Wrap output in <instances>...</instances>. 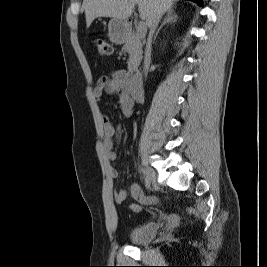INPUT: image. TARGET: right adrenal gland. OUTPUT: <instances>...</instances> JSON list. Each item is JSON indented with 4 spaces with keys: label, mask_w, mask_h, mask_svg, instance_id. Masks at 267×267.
<instances>
[{
    "label": "right adrenal gland",
    "mask_w": 267,
    "mask_h": 267,
    "mask_svg": "<svg viewBox=\"0 0 267 267\" xmlns=\"http://www.w3.org/2000/svg\"><path fill=\"white\" fill-rule=\"evenodd\" d=\"M177 19H178V16H177V14L175 13V11H174V10H169V11L167 12V14H166L164 20H163V23L161 24V26H160V27L158 28V30L156 31V33H155V35H154V39H153V41L156 40V37H157L159 31L161 30V28H162L165 24H167V23H172V22H176Z\"/></svg>",
    "instance_id": "1"
}]
</instances>
